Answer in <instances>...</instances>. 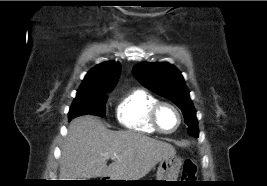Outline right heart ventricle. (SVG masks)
I'll return each instance as SVG.
<instances>
[{"mask_svg": "<svg viewBox=\"0 0 267 186\" xmlns=\"http://www.w3.org/2000/svg\"><path fill=\"white\" fill-rule=\"evenodd\" d=\"M157 101L158 99L154 95L143 89L133 90L117 106L118 123L122 128L132 132L157 133L149 121L150 109Z\"/></svg>", "mask_w": 267, "mask_h": 186, "instance_id": "e07e8e85", "label": "right heart ventricle"}]
</instances>
